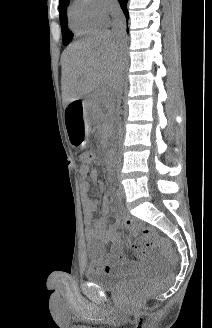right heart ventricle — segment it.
Masks as SVG:
<instances>
[{"label": "right heart ventricle", "instance_id": "right-heart-ventricle-1", "mask_svg": "<svg viewBox=\"0 0 212 328\" xmlns=\"http://www.w3.org/2000/svg\"><path fill=\"white\" fill-rule=\"evenodd\" d=\"M68 23L76 35L91 33L104 24L92 15L87 0H73L68 8Z\"/></svg>", "mask_w": 212, "mask_h": 328}]
</instances>
